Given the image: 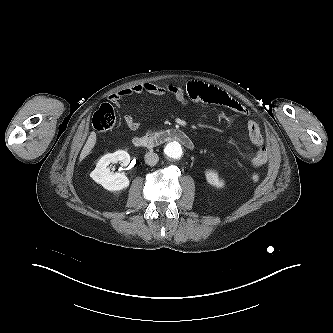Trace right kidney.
Instances as JSON below:
<instances>
[{"instance_id": "ca27d5eb", "label": "right kidney", "mask_w": 333, "mask_h": 333, "mask_svg": "<svg viewBox=\"0 0 333 333\" xmlns=\"http://www.w3.org/2000/svg\"><path fill=\"white\" fill-rule=\"evenodd\" d=\"M121 162L127 166L130 155L124 150L104 155L97 163L96 168L90 173V177L109 191H119L129 186V179L123 173H113L108 167L111 163Z\"/></svg>"}]
</instances>
